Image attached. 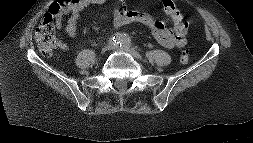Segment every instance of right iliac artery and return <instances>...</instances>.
I'll return each instance as SVG.
<instances>
[{
    "label": "right iliac artery",
    "instance_id": "1",
    "mask_svg": "<svg viewBox=\"0 0 253 143\" xmlns=\"http://www.w3.org/2000/svg\"><path fill=\"white\" fill-rule=\"evenodd\" d=\"M123 34H116L115 36H113L112 37V39L110 40V44H112V45H116V46H118V45H120L121 44V42H122V40H123Z\"/></svg>",
    "mask_w": 253,
    "mask_h": 143
}]
</instances>
